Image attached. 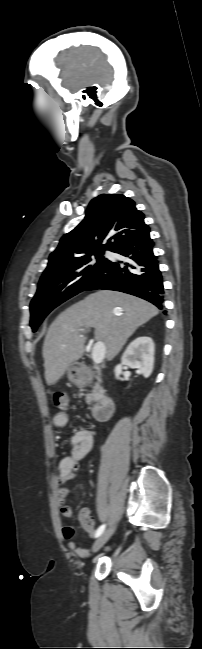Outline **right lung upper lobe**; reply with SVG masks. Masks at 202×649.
I'll return each instance as SVG.
<instances>
[{"label":"right lung upper lobe","mask_w":202,"mask_h":649,"mask_svg":"<svg viewBox=\"0 0 202 649\" xmlns=\"http://www.w3.org/2000/svg\"><path fill=\"white\" fill-rule=\"evenodd\" d=\"M147 228L144 214L136 209L132 199L122 194L99 195L88 205L82 222L61 238L57 249L50 254L41 278L68 270L70 263L84 254L112 251L127 238ZM108 236V242L103 245V239Z\"/></svg>","instance_id":"obj_1"}]
</instances>
